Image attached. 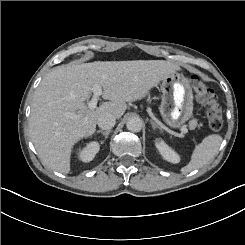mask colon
Returning a JSON list of instances; mask_svg holds the SVG:
<instances>
[{
  "mask_svg": "<svg viewBox=\"0 0 245 245\" xmlns=\"http://www.w3.org/2000/svg\"><path fill=\"white\" fill-rule=\"evenodd\" d=\"M192 85L197 99L205 107V113L210 128L219 130L223 125V114L217 102L215 92L203 83L198 76L192 77Z\"/></svg>",
  "mask_w": 245,
  "mask_h": 245,
  "instance_id": "obj_1",
  "label": "colon"
}]
</instances>
